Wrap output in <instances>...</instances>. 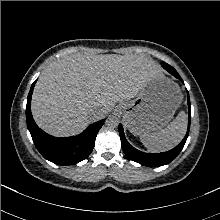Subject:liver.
<instances>
[{
	"instance_id": "obj_1",
	"label": "liver",
	"mask_w": 220,
	"mask_h": 220,
	"mask_svg": "<svg viewBox=\"0 0 220 220\" xmlns=\"http://www.w3.org/2000/svg\"><path fill=\"white\" fill-rule=\"evenodd\" d=\"M161 73L155 61L141 55L71 54L43 70L32 95L33 118L54 136L78 134Z\"/></svg>"
}]
</instances>
